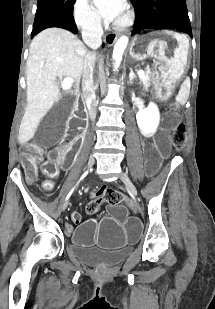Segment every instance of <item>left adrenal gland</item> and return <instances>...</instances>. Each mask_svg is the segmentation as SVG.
I'll list each match as a JSON object with an SVG mask.
<instances>
[{"mask_svg":"<svg viewBox=\"0 0 215 309\" xmlns=\"http://www.w3.org/2000/svg\"><path fill=\"white\" fill-rule=\"evenodd\" d=\"M134 78H137L135 72H133V68H130L129 72V82H133Z\"/></svg>","mask_w":215,"mask_h":309,"instance_id":"left-adrenal-gland-1","label":"left adrenal gland"}]
</instances>
